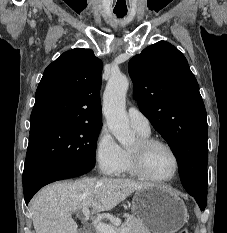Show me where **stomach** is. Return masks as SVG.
I'll return each instance as SVG.
<instances>
[{
  "mask_svg": "<svg viewBox=\"0 0 227 233\" xmlns=\"http://www.w3.org/2000/svg\"><path fill=\"white\" fill-rule=\"evenodd\" d=\"M132 209L153 233H174L188 221L183 200L168 187L150 186L137 190Z\"/></svg>",
  "mask_w": 227,
  "mask_h": 233,
  "instance_id": "stomach-1",
  "label": "stomach"
}]
</instances>
